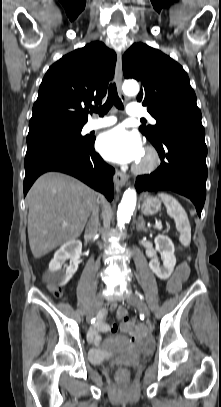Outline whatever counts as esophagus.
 <instances>
[{
  "instance_id": "1",
  "label": "esophagus",
  "mask_w": 221,
  "mask_h": 407,
  "mask_svg": "<svg viewBox=\"0 0 221 407\" xmlns=\"http://www.w3.org/2000/svg\"><path fill=\"white\" fill-rule=\"evenodd\" d=\"M122 79H123V71H122V55L121 52L117 53V64H116V84L117 88L120 94V97L122 98L123 101H127V97L123 94L121 90V85H122ZM128 180V176L121 172L120 170H116L115 176H114V183L116 186H124L125 183Z\"/></svg>"
}]
</instances>
